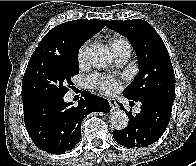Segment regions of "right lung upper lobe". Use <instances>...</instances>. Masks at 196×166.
I'll return each mask as SVG.
<instances>
[{
    "mask_svg": "<svg viewBox=\"0 0 196 166\" xmlns=\"http://www.w3.org/2000/svg\"><path fill=\"white\" fill-rule=\"evenodd\" d=\"M108 20L77 19L52 28L40 41L36 49L58 54H68L99 32Z\"/></svg>",
    "mask_w": 196,
    "mask_h": 166,
    "instance_id": "cb5924a9",
    "label": "right lung upper lobe"
}]
</instances>
